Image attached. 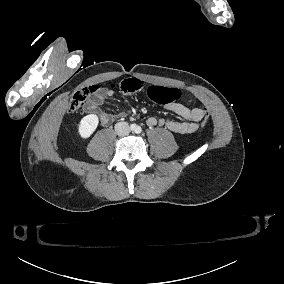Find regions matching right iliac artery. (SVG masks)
<instances>
[{
  "label": "right iliac artery",
  "instance_id": "82829eb1",
  "mask_svg": "<svg viewBox=\"0 0 284 284\" xmlns=\"http://www.w3.org/2000/svg\"><path fill=\"white\" fill-rule=\"evenodd\" d=\"M130 128H131V130H135V125L134 124H132V125H130Z\"/></svg>",
  "mask_w": 284,
  "mask_h": 284
}]
</instances>
